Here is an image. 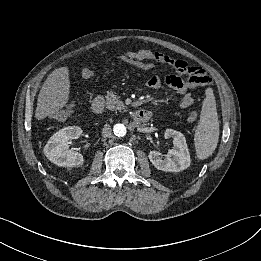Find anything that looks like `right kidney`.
Returning a JSON list of instances; mask_svg holds the SVG:
<instances>
[{
  "label": "right kidney",
  "mask_w": 261,
  "mask_h": 261,
  "mask_svg": "<svg viewBox=\"0 0 261 261\" xmlns=\"http://www.w3.org/2000/svg\"><path fill=\"white\" fill-rule=\"evenodd\" d=\"M82 134L78 126L64 127L56 132L44 147L46 157L57 166L75 167L84 162L83 155L68 149L69 139H77Z\"/></svg>",
  "instance_id": "obj_1"
}]
</instances>
